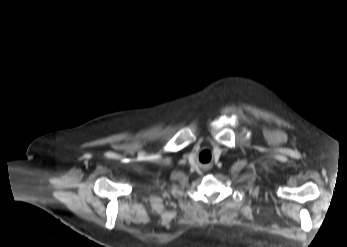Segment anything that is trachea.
Listing matches in <instances>:
<instances>
[{
  "mask_svg": "<svg viewBox=\"0 0 347 247\" xmlns=\"http://www.w3.org/2000/svg\"><path fill=\"white\" fill-rule=\"evenodd\" d=\"M202 153H207L208 155H210V153H209L208 151H204V152H202Z\"/></svg>",
  "mask_w": 347,
  "mask_h": 247,
  "instance_id": "1",
  "label": "trachea"
}]
</instances>
